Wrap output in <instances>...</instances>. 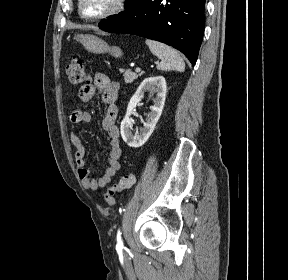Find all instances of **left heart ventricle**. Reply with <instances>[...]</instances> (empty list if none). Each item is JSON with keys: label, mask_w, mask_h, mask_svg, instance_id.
I'll list each match as a JSON object with an SVG mask.
<instances>
[{"label": "left heart ventricle", "mask_w": 288, "mask_h": 280, "mask_svg": "<svg viewBox=\"0 0 288 280\" xmlns=\"http://www.w3.org/2000/svg\"><path fill=\"white\" fill-rule=\"evenodd\" d=\"M114 0H84L82 9L88 16L98 15L109 9Z\"/></svg>", "instance_id": "1"}]
</instances>
